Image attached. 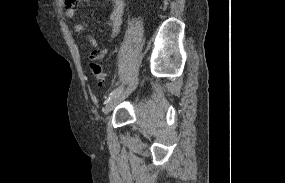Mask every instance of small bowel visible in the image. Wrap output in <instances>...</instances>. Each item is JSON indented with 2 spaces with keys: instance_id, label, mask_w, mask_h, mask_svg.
<instances>
[{
  "instance_id": "c3829d8e",
  "label": "small bowel",
  "mask_w": 285,
  "mask_h": 183,
  "mask_svg": "<svg viewBox=\"0 0 285 183\" xmlns=\"http://www.w3.org/2000/svg\"><path fill=\"white\" fill-rule=\"evenodd\" d=\"M111 2L113 7L109 16L110 32L107 38L108 42H113L117 39L120 33L122 17L125 9V0H111ZM66 6L65 16L68 19H74L76 15L74 2H72L70 5L66 4ZM72 31L74 34L80 36L84 31V25L78 22L74 23L72 24ZM86 40L92 47L86 53V56L90 62L98 61L107 55L108 49L105 47L97 48V41L92 36H87Z\"/></svg>"
}]
</instances>
